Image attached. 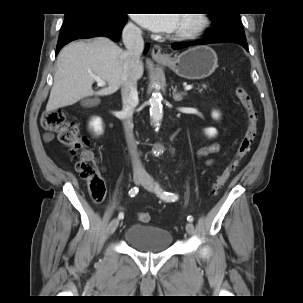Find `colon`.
I'll return each mask as SVG.
<instances>
[{"label": "colon", "mask_w": 303, "mask_h": 303, "mask_svg": "<svg viewBox=\"0 0 303 303\" xmlns=\"http://www.w3.org/2000/svg\"><path fill=\"white\" fill-rule=\"evenodd\" d=\"M235 94L246 110L248 127L232 160L215 180L212 193L218 192L225 185L241 161L248 156L259 131L258 113L251 96L240 85L236 86ZM41 125L45 130L56 133L59 141L65 144L71 154L78 159L76 168L80 175L88 181L92 200L97 203L102 202L106 193L105 182L99 174L97 159L93 153L85 148L86 143L79 137L77 126L67 120L65 113L59 109L45 112L41 119ZM138 220L146 223L150 220V214L139 212Z\"/></svg>", "instance_id": "1"}]
</instances>
